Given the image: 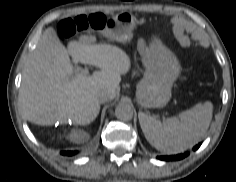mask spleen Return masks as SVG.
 Wrapping results in <instances>:
<instances>
[{
  "mask_svg": "<svg viewBox=\"0 0 236 182\" xmlns=\"http://www.w3.org/2000/svg\"><path fill=\"white\" fill-rule=\"evenodd\" d=\"M138 117L152 146L168 154H177L193 147L205 136L212 119V104L199 103L163 122L143 112Z\"/></svg>",
  "mask_w": 236,
  "mask_h": 182,
  "instance_id": "1",
  "label": "spleen"
}]
</instances>
